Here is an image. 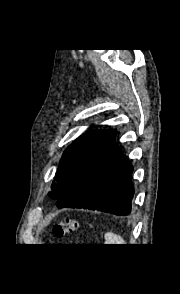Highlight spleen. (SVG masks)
I'll return each mask as SVG.
<instances>
[{
    "mask_svg": "<svg viewBox=\"0 0 180 294\" xmlns=\"http://www.w3.org/2000/svg\"><path fill=\"white\" fill-rule=\"evenodd\" d=\"M105 243L106 244H125V241L122 237L114 233L107 232L105 234Z\"/></svg>",
    "mask_w": 180,
    "mask_h": 294,
    "instance_id": "obj_1",
    "label": "spleen"
}]
</instances>
